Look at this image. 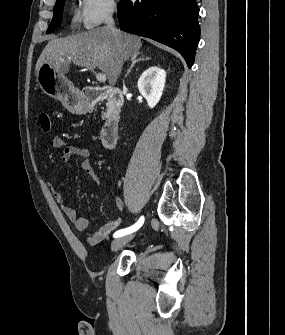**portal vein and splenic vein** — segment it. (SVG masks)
<instances>
[{"label": "portal vein and splenic vein", "mask_w": 285, "mask_h": 335, "mask_svg": "<svg viewBox=\"0 0 285 335\" xmlns=\"http://www.w3.org/2000/svg\"><path fill=\"white\" fill-rule=\"evenodd\" d=\"M96 80H98V82H106L107 78L105 74H96Z\"/></svg>", "instance_id": "obj_1"}]
</instances>
